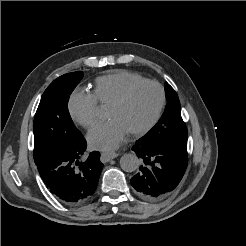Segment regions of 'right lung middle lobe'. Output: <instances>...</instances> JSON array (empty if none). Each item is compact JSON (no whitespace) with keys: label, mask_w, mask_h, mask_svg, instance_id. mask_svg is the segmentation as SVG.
<instances>
[{"label":"right lung middle lobe","mask_w":246,"mask_h":246,"mask_svg":"<svg viewBox=\"0 0 246 246\" xmlns=\"http://www.w3.org/2000/svg\"><path fill=\"white\" fill-rule=\"evenodd\" d=\"M82 77V71L62 75L43 93L33 122L34 159L54 148L69 146L81 136L69 114L68 101Z\"/></svg>","instance_id":"1"}]
</instances>
